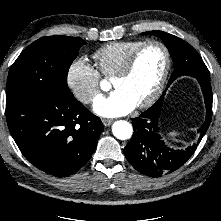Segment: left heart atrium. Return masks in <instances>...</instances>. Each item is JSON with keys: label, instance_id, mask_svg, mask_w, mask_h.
Returning a JSON list of instances; mask_svg holds the SVG:
<instances>
[{"label": "left heart atrium", "instance_id": "left-heart-atrium-1", "mask_svg": "<svg viewBox=\"0 0 221 221\" xmlns=\"http://www.w3.org/2000/svg\"><path fill=\"white\" fill-rule=\"evenodd\" d=\"M137 104L122 90L115 89L108 96L96 98L93 110L100 116L116 117L129 113Z\"/></svg>", "mask_w": 221, "mask_h": 221}]
</instances>
